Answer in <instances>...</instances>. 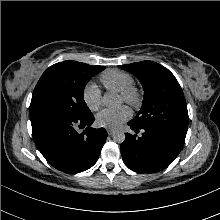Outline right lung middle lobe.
<instances>
[{
	"label": "right lung middle lobe",
	"instance_id": "1",
	"mask_svg": "<svg viewBox=\"0 0 220 220\" xmlns=\"http://www.w3.org/2000/svg\"><path fill=\"white\" fill-rule=\"evenodd\" d=\"M104 69V66L77 61L50 66L34 89L30 108L46 107L75 118L91 114L83 99V91L87 82Z\"/></svg>",
	"mask_w": 220,
	"mask_h": 220
}]
</instances>
